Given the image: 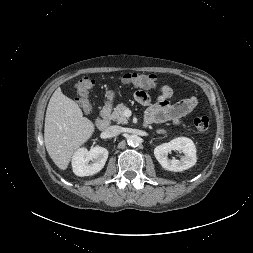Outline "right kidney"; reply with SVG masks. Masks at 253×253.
Returning a JSON list of instances; mask_svg holds the SVG:
<instances>
[{
	"label": "right kidney",
	"mask_w": 253,
	"mask_h": 253,
	"mask_svg": "<svg viewBox=\"0 0 253 253\" xmlns=\"http://www.w3.org/2000/svg\"><path fill=\"white\" fill-rule=\"evenodd\" d=\"M107 158L108 150L103 147L78 149L72 158L73 172L80 177L94 175L104 167Z\"/></svg>",
	"instance_id": "right-kidney-1"
}]
</instances>
